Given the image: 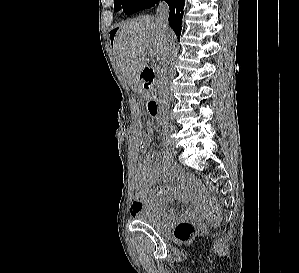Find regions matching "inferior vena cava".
I'll list each match as a JSON object with an SVG mask.
<instances>
[{
    "label": "inferior vena cava",
    "mask_w": 299,
    "mask_h": 273,
    "mask_svg": "<svg viewBox=\"0 0 299 273\" xmlns=\"http://www.w3.org/2000/svg\"><path fill=\"white\" fill-rule=\"evenodd\" d=\"M157 20L159 22V25L162 28V31L164 34L167 35L169 26H168V16H169V7L165 2H160L158 4L157 10ZM172 48V43L168 40L167 44L163 50V53L161 55V66H160V77H159V84H160V90L162 94V111L163 114H166L169 108L168 103V94H167V65H168V59L170 56Z\"/></svg>",
    "instance_id": "obj_1"
}]
</instances>
